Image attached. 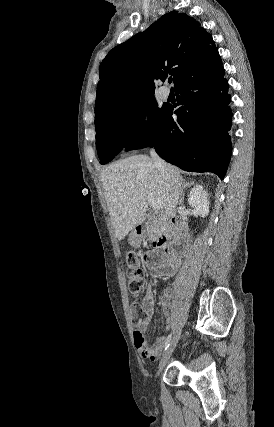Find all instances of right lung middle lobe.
<instances>
[{
  "mask_svg": "<svg viewBox=\"0 0 274 427\" xmlns=\"http://www.w3.org/2000/svg\"><path fill=\"white\" fill-rule=\"evenodd\" d=\"M166 107L158 108L154 94L140 95L119 101L95 114L100 164H106L123 148L146 137ZM144 116L149 117L146 126H143Z\"/></svg>",
  "mask_w": 274,
  "mask_h": 427,
  "instance_id": "1",
  "label": "right lung middle lobe"
}]
</instances>
